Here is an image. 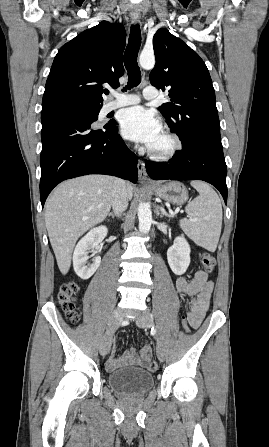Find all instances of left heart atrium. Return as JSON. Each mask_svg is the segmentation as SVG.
<instances>
[{
  "label": "left heart atrium",
  "mask_w": 269,
  "mask_h": 447,
  "mask_svg": "<svg viewBox=\"0 0 269 447\" xmlns=\"http://www.w3.org/2000/svg\"><path fill=\"white\" fill-rule=\"evenodd\" d=\"M121 134L148 146L163 130L157 114L140 106L124 109L119 114Z\"/></svg>",
  "instance_id": "1"
}]
</instances>
